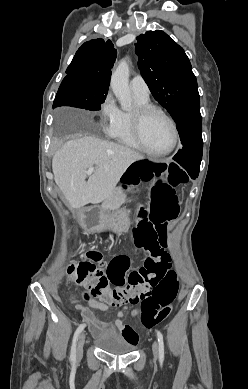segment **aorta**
Wrapping results in <instances>:
<instances>
[{
    "label": "aorta",
    "instance_id": "762f6f07",
    "mask_svg": "<svg viewBox=\"0 0 248 389\" xmlns=\"http://www.w3.org/2000/svg\"><path fill=\"white\" fill-rule=\"evenodd\" d=\"M129 65L126 60L118 63L115 71L112 73L110 86L118 99L121 108L129 110L132 107L131 90L129 88Z\"/></svg>",
    "mask_w": 248,
    "mask_h": 389
}]
</instances>
